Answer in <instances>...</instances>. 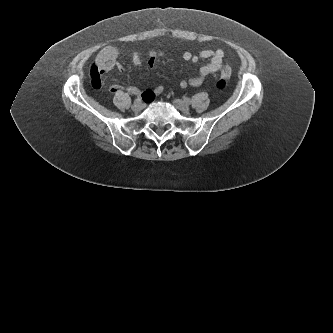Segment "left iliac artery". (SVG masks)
<instances>
[{"mask_svg":"<svg viewBox=\"0 0 333 333\" xmlns=\"http://www.w3.org/2000/svg\"><path fill=\"white\" fill-rule=\"evenodd\" d=\"M186 102H187V103H190V99H189V98H186Z\"/></svg>","mask_w":333,"mask_h":333,"instance_id":"left-iliac-artery-1","label":"left iliac artery"}]
</instances>
